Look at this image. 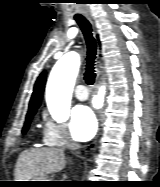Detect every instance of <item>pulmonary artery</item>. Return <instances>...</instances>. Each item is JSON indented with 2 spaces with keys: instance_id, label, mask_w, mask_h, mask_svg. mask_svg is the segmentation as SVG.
<instances>
[{
  "instance_id": "1",
  "label": "pulmonary artery",
  "mask_w": 160,
  "mask_h": 187,
  "mask_svg": "<svg viewBox=\"0 0 160 187\" xmlns=\"http://www.w3.org/2000/svg\"><path fill=\"white\" fill-rule=\"evenodd\" d=\"M75 97L80 101H84L88 98V93H87L86 87L84 85H78L76 87Z\"/></svg>"
}]
</instances>
